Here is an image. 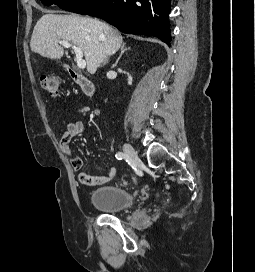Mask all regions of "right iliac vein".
<instances>
[{"instance_id":"obj_1","label":"right iliac vein","mask_w":255,"mask_h":272,"mask_svg":"<svg viewBox=\"0 0 255 272\" xmlns=\"http://www.w3.org/2000/svg\"><path fill=\"white\" fill-rule=\"evenodd\" d=\"M123 151H124L125 155H126L129 159H131V160H133V161H138V159H139V158H138V155H137L135 149H134L130 144L125 143V144L123 145Z\"/></svg>"}]
</instances>
